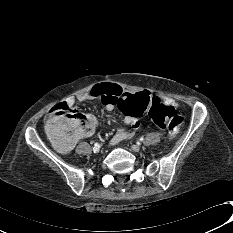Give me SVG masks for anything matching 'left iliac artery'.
<instances>
[{
    "label": "left iliac artery",
    "mask_w": 233,
    "mask_h": 233,
    "mask_svg": "<svg viewBox=\"0 0 233 233\" xmlns=\"http://www.w3.org/2000/svg\"><path fill=\"white\" fill-rule=\"evenodd\" d=\"M143 140H144V138H143V137H141V138L139 139V141H140V142H142Z\"/></svg>",
    "instance_id": "left-iliac-artery-1"
}]
</instances>
